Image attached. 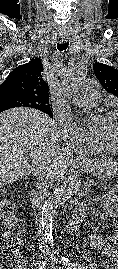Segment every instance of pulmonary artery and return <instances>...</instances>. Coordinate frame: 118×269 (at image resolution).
I'll return each mask as SVG.
<instances>
[{"label":"pulmonary artery","instance_id":"1","mask_svg":"<svg viewBox=\"0 0 118 269\" xmlns=\"http://www.w3.org/2000/svg\"><path fill=\"white\" fill-rule=\"evenodd\" d=\"M100 97L99 85L94 79H87L83 83V90L73 98L75 104H91Z\"/></svg>","mask_w":118,"mask_h":269}]
</instances>
